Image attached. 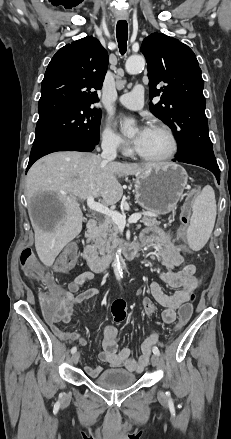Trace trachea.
<instances>
[{
	"mask_svg": "<svg viewBox=\"0 0 231 439\" xmlns=\"http://www.w3.org/2000/svg\"><path fill=\"white\" fill-rule=\"evenodd\" d=\"M116 37L120 53L123 55L127 50L128 24L125 20L117 22Z\"/></svg>",
	"mask_w": 231,
	"mask_h": 439,
	"instance_id": "obj_1",
	"label": "trachea"
}]
</instances>
